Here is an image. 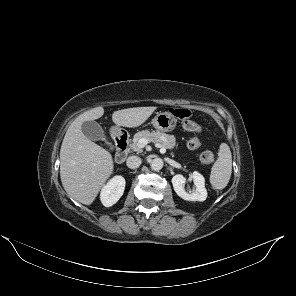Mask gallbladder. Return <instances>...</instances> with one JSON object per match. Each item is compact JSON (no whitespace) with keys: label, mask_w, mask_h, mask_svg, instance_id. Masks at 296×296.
Here are the masks:
<instances>
[{"label":"gallbladder","mask_w":296,"mask_h":296,"mask_svg":"<svg viewBox=\"0 0 296 296\" xmlns=\"http://www.w3.org/2000/svg\"><path fill=\"white\" fill-rule=\"evenodd\" d=\"M81 130L83 134L90 140L104 141L105 144L110 147V149H114L112 143L108 141L102 127L96 121H85L81 126Z\"/></svg>","instance_id":"gallbladder-1"}]
</instances>
